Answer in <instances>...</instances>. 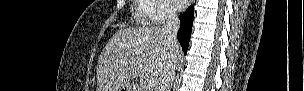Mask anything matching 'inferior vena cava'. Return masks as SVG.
Here are the masks:
<instances>
[{
  "label": "inferior vena cava",
  "instance_id": "602c4592",
  "mask_svg": "<svg viewBox=\"0 0 304 91\" xmlns=\"http://www.w3.org/2000/svg\"><path fill=\"white\" fill-rule=\"evenodd\" d=\"M166 13V21L162 26V32L167 35L170 41L172 60L160 75L157 91H170L179 64V57L177 55L179 50L177 32L180 26V21L174 8L168 7Z\"/></svg>",
  "mask_w": 304,
  "mask_h": 91
}]
</instances>
